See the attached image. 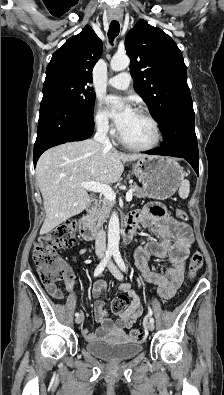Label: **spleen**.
Returning a JSON list of instances; mask_svg holds the SVG:
<instances>
[{"label": "spleen", "mask_w": 224, "mask_h": 395, "mask_svg": "<svg viewBox=\"0 0 224 395\" xmlns=\"http://www.w3.org/2000/svg\"><path fill=\"white\" fill-rule=\"evenodd\" d=\"M190 192V183L188 180H183L179 188V196L186 199Z\"/></svg>", "instance_id": "obj_1"}]
</instances>
